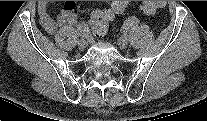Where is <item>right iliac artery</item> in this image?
I'll return each instance as SVG.
<instances>
[{
  "label": "right iliac artery",
  "mask_w": 207,
  "mask_h": 121,
  "mask_svg": "<svg viewBox=\"0 0 207 121\" xmlns=\"http://www.w3.org/2000/svg\"><path fill=\"white\" fill-rule=\"evenodd\" d=\"M78 30H79V35L81 37L85 38V37L88 36V31L89 30H88V27H87V25L85 23L80 24Z\"/></svg>",
  "instance_id": "82829eb1"
}]
</instances>
